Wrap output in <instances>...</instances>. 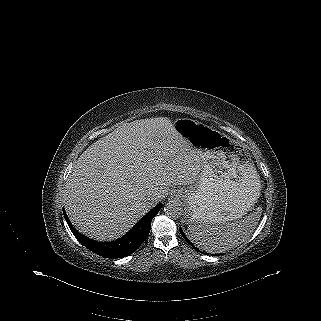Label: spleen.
I'll list each match as a JSON object with an SVG mask.
<instances>
[{
    "label": "spleen",
    "instance_id": "1",
    "mask_svg": "<svg viewBox=\"0 0 321 321\" xmlns=\"http://www.w3.org/2000/svg\"><path fill=\"white\" fill-rule=\"evenodd\" d=\"M262 214L258 207L244 219L232 223L211 222L190 223L187 227L189 238L209 253H223L242 244L255 230Z\"/></svg>",
    "mask_w": 321,
    "mask_h": 321
}]
</instances>
